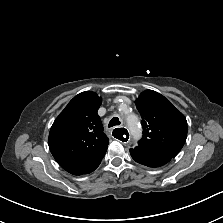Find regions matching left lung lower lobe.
Here are the masks:
<instances>
[{
	"label": "left lung lower lobe",
	"mask_w": 223,
	"mask_h": 223,
	"mask_svg": "<svg viewBox=\"0 0 223 223\" xmlns=\"http://www.w3.org/2000/svg\"><path fill=\"white\" fill-rule=\"evenodd\" d=\"M130 154L137 163L148 167H160L168 163L172 158L162 153L141 148L139 146L130 149Z\"/></svg>",
	"instance_id": "1"
}]
</instances>
